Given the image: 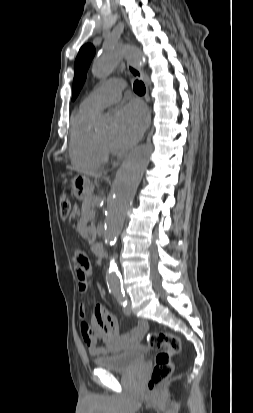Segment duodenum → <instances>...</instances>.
I'll use <instances>...</instances> for the list:
<instances>
[{
  "mask_svg": "<svg viewBox=\"0 0 253 413\" xmlns=\"http://www.w3.org/2000/svg\"><path fill=\"white\" fill-rule=\"evenodd\" d=\"M91 250L93 254L98 258H102L105 255L104 247L101 244L92 245Z\"/></svg>",
  "mask_w": 253,
  "mask_h": 413,
  "instance_id": "duodenum-1",
  "label": "duodenum"
}]
</instances>
